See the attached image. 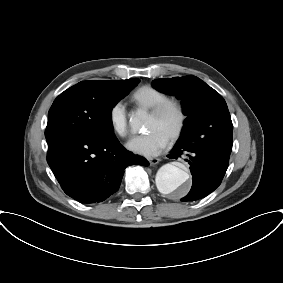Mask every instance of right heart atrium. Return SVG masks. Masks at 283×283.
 I'll return each instance as SVG.
<instances>
[{
  "label": "right heart atrium",
  "mask_w": 283,
  "mask_h": 283,
  "mask_svg": "<svg viewBox=\"0 0 283 283\" xmlns=\"http://www.w3.org/2000/svg\"><path fill=\"white\" fill-rule=\"evenodd\" d=\"M109 122L113 132L125 138L129 135L128 114L123 102H115L109 111Z\"/></svg>",
  "instance_id": "right-heart-atrium-1"
}]
</instances>
